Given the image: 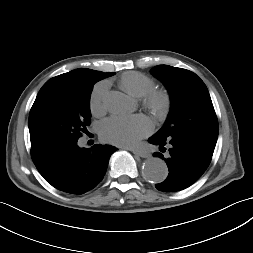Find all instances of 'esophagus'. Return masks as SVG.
I'll return each mask as SVG.
<instances>
[{
    "mask_svg": "<svg viewBox=\"0 0 253 253\" xmlns=\"http://www.w3.org/2000/svg\"><path fill=\"white\" fill-rule=\"evenodd\" d=\"M133 152V154H135L136 156H140L142 158H147L149 156V153L143 150H137V149H132L131 150Z\"/></svg>",
    "mask_w": 253,
    "mask_h": 253,
    "instance_id": "34e87169",
    "label": "esophagus"
}]
</instances>
